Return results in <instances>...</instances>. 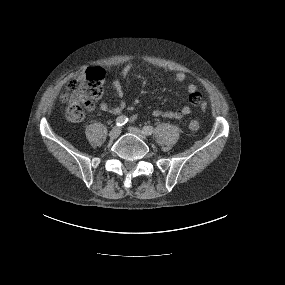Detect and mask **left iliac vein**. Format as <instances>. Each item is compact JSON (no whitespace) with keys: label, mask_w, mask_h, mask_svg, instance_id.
<instances>
[{"label":"left iliac vein","mask_w":285,"mask_h":285,"mask_svg":"<svg viewBox=\"0 0 285 285\" xmlns=\"http://www.w3.org/2000/svg\"><path fill=\"white\" fill-rule=\"evenodd\" d=\"M128 131L136 136H138L141 139H146L147 136L146 134H144L140 129L136 128V127H129Z\"/></svg>","instance_id":"left-iliac-vein-1"}]
</instances>
